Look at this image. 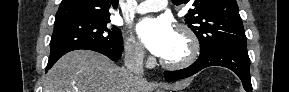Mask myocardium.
<instances>
[{"mask_svg": "<svg viewBox=\"0 0 289 92\" xmlns=\"http://www.w3.org/2000/svg\"><path fill=\"white\" fill-rule=\"evenodd\" d=\"M176 32L183 36L188 43L187 55L178 61H168L161 59V64L168 69H183L193 64L200 54V43L194 31L187 25L181 24L176 28Z\"/></svg>", "mask_w": 289, "mask_h": 92, "instance_id": "f54148a6", "label": "myocardium"}]
</instances>
